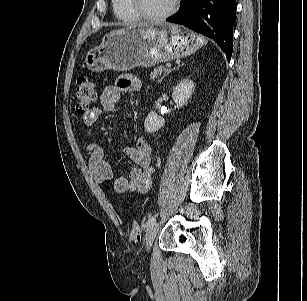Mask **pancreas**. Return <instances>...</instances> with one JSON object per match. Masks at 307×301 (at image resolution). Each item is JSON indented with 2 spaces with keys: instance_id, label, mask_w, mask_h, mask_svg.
Instances as JSON below:
<instances>
[{
  "instance_id": "pancreas-1",
  "label": "pancreas",
  "mask_w": 307,
  "mask_h": 301,
  "mask_svg": "<svg viewBox=\"0 0 307 301\" xmlns=\"http://www.w3.org/2000/svg\"><path fill=\"white\" fill-rule=\"evenodd\" d=\"M163 72L167 74L169 70L163 66H158L151 72L150 74L151 80L154 81L157 77L161 76Z\"/></svg>"
}]
</instances>
